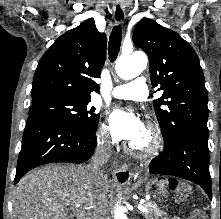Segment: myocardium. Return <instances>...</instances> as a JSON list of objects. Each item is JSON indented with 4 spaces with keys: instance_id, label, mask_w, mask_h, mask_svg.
<instances>
[{
    "instance_id": "myocardium-1",
    "label": "myocardium",
    "mask_w": 221,
    "mask_h": 219,
    "mask_svg": "<svg viewBox=\"0 0 221 219\" xmlns=\"http://www.w3.org/2000/svg\"><path fill=\"white\" fill-rule=\"evenodd\" d=\"M144 131L147 136L144 146L139 147L131 142L125 144V150L131 155L145 158L156 155L161 150L163 145L161 130L153 123H148L145 125Z\"/></svg>"
}]
</instances>
